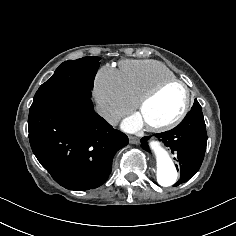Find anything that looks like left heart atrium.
Returning <instances> with one entry per match:
<instances>
[{
	"instance_id": "obj_1",
	"label": "left heart atrium",
	"mask_w": 236,
	"mask_h": 236,
	"mask_svg": "<svg viewBox=\"0 0 236 236\" xmlns=\"http://www.w3.org/2000/svg\"><path fill=\"white\" fill-rule=\"evenodd\" d=\"M144 125L145 123L140 112L134 113L123 122V128L131 132L140 131Z\"/></svg>"
}]
</instances>
